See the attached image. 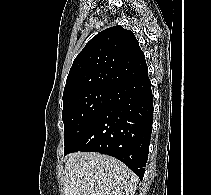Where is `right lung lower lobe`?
<instances>
[{
    "label": "right lung lower lobe",
    "mask_w": 211,
    "mask_h": 195,
    "mask_svg": "<svg viewBox=\"0 0 211 195\" xmlns=\"http://www.w3.org/2000/svg\"><path fill=\"white\" fill-rule=\"evenodd\" d=\"M153 122V95L148 73L118 84L96 119L66 154L83 151L113 156L140 180L148 159Z\"/></svg>",
    "instance_id": "obj_1"
}]
</instances>
